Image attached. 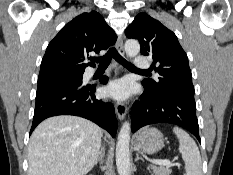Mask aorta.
I'll use <instances>...</instances> for the list:
<instances>
[{
    "label": "aorta",
    "instance_id": "1",
    "mask_svg": "<svg viewBox=\"0 0 233 175\" xmlns=\"http://www.w3.org/2000/svg\"><path fill=\"white\" fill-rule=\"evenodd\" d=\"M125 52L128 57H135L140 52L138 41L129 39L125 42ZM130 132L131 127L125 122L118 134L116 144V166L119 175H129L130 172Z\"/></svg>",
    "mask_w": 233,
    "mask_h": 175
}]
</instances>
